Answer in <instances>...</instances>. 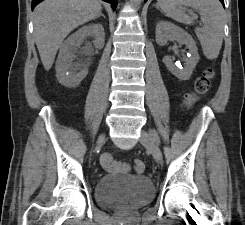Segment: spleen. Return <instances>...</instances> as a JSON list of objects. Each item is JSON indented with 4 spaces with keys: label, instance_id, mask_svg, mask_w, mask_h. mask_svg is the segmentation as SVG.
I'll return each mask as SVG.
<instances>
[{
    "label": "spleen",
    "instance_id": "obj_1",
    "mask_svg": "<svg viewBox=\"0 0 245 225\" xmlns=\"http://www.w3.org/2000/svg\"><path fill=\"white\" fill-rule=\"evenodd\" d=\"M157 2L166 16L183 24L190 25L193 19L184 13L182 6L198 11L203 27H197L195 33L203 53L211 60L218 57L224 30V9L219 0H157Z\"/></svg>",
    "mask_w": 245,
    "mask_h": 225
}]
</instances>
